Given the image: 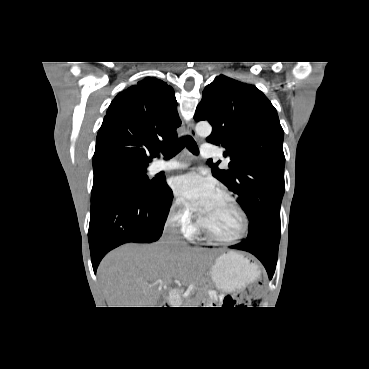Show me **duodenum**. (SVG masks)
<instances>
[{"instance_id": "410a0bca", "label": "duodenum", "mask_w": 369, "mask_h": 369, "mask_svg": "<svg viewBox=\"0 0 369 369\" xmlns=\"http://www.w3.org/2000/svg\"><path fill=\"white\" fill-rule=\"evenodd\" d=\"M173 297H174L173 292H170V293H169V299H173Z\"/></svg>"}]
</instances>
